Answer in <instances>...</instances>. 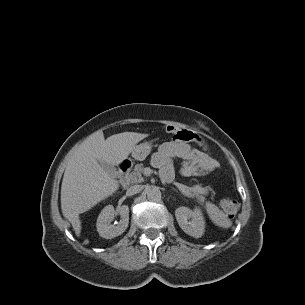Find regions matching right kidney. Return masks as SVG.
I'll use <instances>...</instances> for the list:
<instances>
[{"label": "right kidney", "instance_id": "ca27d5eb", "mask_svg": "<svg viewBox=\"0 0 305 305\" xmlns=\"http://www.w3.org/2000/svg\"><path fill=\"white\" fill-rule=\"evenodd\" d=\"M117 212L121 216V220L117 225L111 224ZM129 224V207L122 205L117 211L114 210L112 205L104 207L98 216L96 227L99 235L106 239H112L121 235L128 227Z\"/></svg>", "mask_w": 305, "mask_h": 305}]
</instances>
